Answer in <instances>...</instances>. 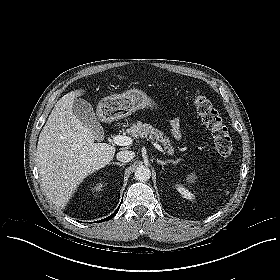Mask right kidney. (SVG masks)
Wrapping results in <instances>:
<instances>
[{"mask_svg": "<svg viewBox=\"0 0 280 280\" xmlns=\"http://www.w3.org/2000/svg\"><path fill=\"white\" fill-rule=\"evenodd\" d=\"M102 187H103V184H102V183H99V184H97V185L93 188V190H94V191H98V190H101Z\"/></svg>", "mask_w": 280, "mask_h": 280, "instance_id": "1", "label": "right kidney"}]
</instances>
